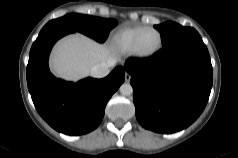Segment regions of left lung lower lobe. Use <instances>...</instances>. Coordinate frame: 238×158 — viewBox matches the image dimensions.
<instances>
[{
	"instance_id": "left-lung-lower-lobe-1",
	"label": "left lung lower lobe",
	"mask_w": 238,
	"mask_h": 158,
	"mask_svg": "<svg viewBox=\"0 0 238 158\" xmlns=\"http://www.w3.org/2000/svg\"><path fill=\"white\" fill-rule=\"evenodd\" d=\"M136 117L146 129L174 133L204 110L213 83L207 47L196 32L164 46L153 57L129 58Z\"/></svg>"
}]
</instances>
